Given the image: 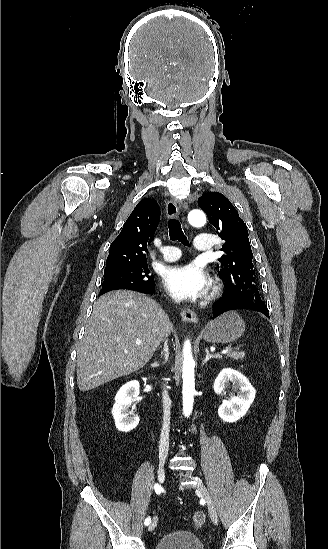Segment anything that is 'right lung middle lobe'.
<instances>
[{
  "instance_id": "dd1d6c3e",
  "label": "right lung middle lobe",
  "mask_w": 328,
  "mask_h": 549,
  "mask_svg": "<svg viewBox=\"0 0 328 549\" xmlns=\"http://www.w3.org/2000/svg\"><path fill=\"white\" fill-rule=\"evenodd\" d=\"M155 286L147 263L104 271L101 295L118 289L146 291Z\"/></svg>"
}]
</instances>
